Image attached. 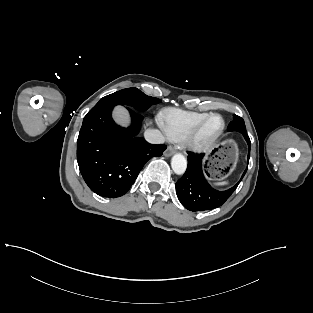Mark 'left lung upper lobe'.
<instances>
[{
    "label": "left lung upper lobe",
    "instance_id": "obj_1",
    "mask_svg": "<svg viewBox=\"0 0 313 313\" xmlns=\"http://www.w3.org/2000/svg\"><path fill=\"white\" fill-rule=\"evenodd\" d=\"M227 130L228 131H238L240 133L246 132L244 120L237 115H233V121L230 122Z\"/></svg>",
    "mask_w": 313,
    "mask_h": 313
}]
</instances>
